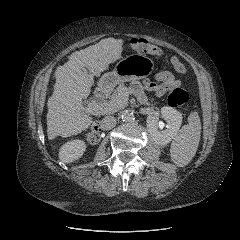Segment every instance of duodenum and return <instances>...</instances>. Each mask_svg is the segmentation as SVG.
Listing matches in <instances>:
<instances>
[{
  "label": "duodenum",
  "instance_id": "obj_1",
  "mask_svg": "<svg viewBox=\"0 0 240 240\" xmlns=\"http://www.w3.org/2000/svg\"><path fill=\"white\" fill-rule=\"evenodd\" d=\"M109 95V87L106 86V85H101L99 87L96 88L95 90V96L98 98V99H106ZM98 125L97 124H94L93 125V129H98Z\"/></svg>",
  "mask_w": 240,
  "mask_h": 240
}]
</instances>
